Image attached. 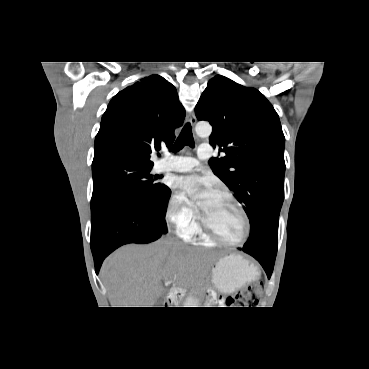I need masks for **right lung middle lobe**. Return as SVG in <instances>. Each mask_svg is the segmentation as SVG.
Listing matches in <instances>:
<instances>
[{
  "label": "right lung middle lobe",
  "mask_w": 369,
  "mask_h": 369,
  "mask_svg": "<svg viewBox=\"0 0 369 369\" xmlns=\"http://www.w3.org/2000/svg\"><path fill=\"white\" fill-rule=\"evenodd\" d=\"M152 166L132 162H112L92 165L93 194L91 212L105 199L114 195H127L141 203L160 207L171 190L150 175ZM160 221L165 225L164 213Z\"/></svg>",
  "instance_id": "1"
}]
</instances>
